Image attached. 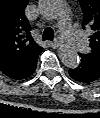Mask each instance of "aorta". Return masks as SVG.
Masks as SVG:
<instances>
[{
  "label": "aorta",
  "mask_w": 100,
  "mask_h": 118,
  "mask_svg": "<svg viewBox=\"0 0 100 118\" xmlns=\"http://www.w3.org/2000/svg\"><path fill=\"white\" fill-rule=\"evenodd\" d=\"M40 13L47 18H57L63 11L62 0H39ZM61 62L68 68L79 65V56L68 45H62L58 51Z\"/></svg>",
  "instance_id": "762f6f07"
}]
</instances>
